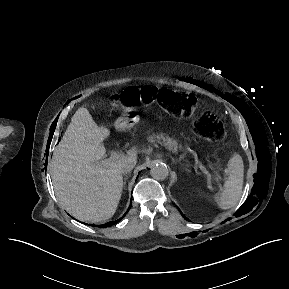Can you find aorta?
<instances>
[{
    "mask_svg": "<svg viewBox=\"0 0 289 289\" xmlns=\"http://www.w3.org/2000/svg\"><path fill=\"white\" fill-rule=\"evenodd\" d=\"M168 168L164 164H154L150 169L152 178L156 180H164L168 176Z\"/></svg>",
    "mask_w": 289,
    "mask_h": 289,
    "instance_id": "762f6f07",
    "label": "aorta"
}]
</instances>
